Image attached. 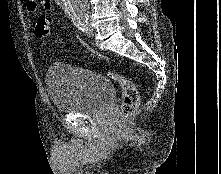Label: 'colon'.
Wrapping results in <instances>:
<instances>
[{"label": "colon", "instance_id": "obj_1", "mask_svg": "<svg viewBox=\"0 0 221 174\" xmlns=\"http://www.w3.org/2000/svg\"><path fill=\"white\" fill-rule=\"evenodd\" d=\"M35 32L40 39L46 40L49 38L50 25L49 19L46 16L41 15L38 18ZM108 77L111 78L121 88L123 98L121 104V116L122 123L126 124L139 106L140 97L138 89L133 81L124 75L108 72Z\"/></svg>", "mask_w": 221, "mask_h": 174}]
</instances>
